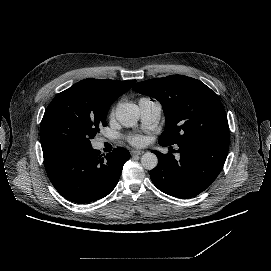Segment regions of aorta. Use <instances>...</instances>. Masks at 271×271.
<instances>
[{
    "label": "aorta",
    "mask_w": 271,
    "mask_h": 271,
    "mask_svg": "<svg viewBox=\"0 0 271 271\" xmlns=\"http://www.w3.org/2000/svg\"><path fill=\"white\" fill-rule=\"evenodd\" d=\"M116 119L125 127H133L139 120V107L135 104L124 103L116 108ZM158 164V158L154 153L146 152L141 157V165L144 169L152 170Z\"/></svg>",
    "instance_id": "obj_1"
}]
</instances>
